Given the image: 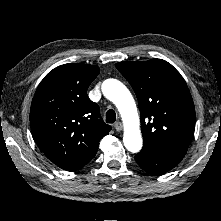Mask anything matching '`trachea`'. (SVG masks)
I'll return each instance as SVG.
<instances>
[{"label":"trachea","mask_w":221,"mask_h":221,"mask_svg":"<svg viewBox=\"0 0 221 221\" xmlns=\"http://www.w3.org/2000/svg\"><path fill=\"white\" fill-rule=\"evenodd\" d=\"M116 120V113L114 110L112 109H109L107 112H106V122L107 123H114Z\"/></svg>","instance_id":"3493384b"}]
</instances>
